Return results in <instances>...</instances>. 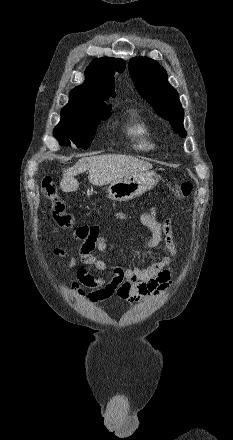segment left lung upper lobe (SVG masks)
Returning <instances> with one entry per match:
<instances>
[{
    "label": "left lung upper lobe",
    "instance_id": "obj_1",
    "mask_svg": "<svg viewBox=\"0 0 233 440\" xmlns=\"http://www.w3.org/2000/svg\"><path fill=\"white\" fill-rule=\"evenodd\" d=\"M129 70L140 95L171 123L177 134L185 137L184 110L177 91L168 83L165 69L153 59L136 57L129 61Z\"/></svg>",
    "mask_w": 233,
    "mask_h": 440
}]
</instances>
